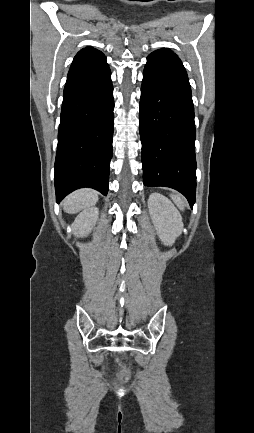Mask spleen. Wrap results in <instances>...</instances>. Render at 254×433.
<instances>
[{
    "instance_id": "3e777b00",
    "label": "spleen",
    "mask_w": 254,
    "mask_h": 433,
    "mask_svg": "<svg viewBox=\"0 0 254 433\" xmlns=\"http://www.w3.org/2000/svg\"><path fill=\"white\" fill-rule=\"evenodd\" d=\"M170 196H171L172 200L174 201V203H175V204H176V205H177L181 210H184L185 203H184L183 199H182L179 195H177V194H171Z\"/></svg>"
}]
</instances>
